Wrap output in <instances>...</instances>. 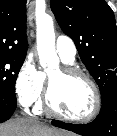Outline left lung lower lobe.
Listing matches in <instances>:
<instances>
[{"label":"left lung lower lobe","instance_id":"obj_1","mask_svg":"<svg viewBox=\"0 0 117 136\" xmlns=\"http://www.w3.org/2000/svg\"><path fill=\"white\" fill-rule=\"evenodd\" d=\"M53 125L83 136H117V91L104 101L99 115L88 124H71L53 121Z\"/></svg>","mask_w":117,"mask_h":136}]
</instances>
